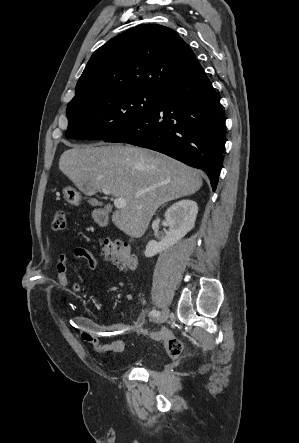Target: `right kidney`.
<instances>
[{
  "label": "right kidney",
  "instance_id": "right-kidney-1",
  "mask_svg": "<svg viewBox=\"0 0 299 443\" xmlns=\"http://www.w3.org/2000/svg\"><path fill=\"white\" fill-rule=\"evenodd\" d=\"M197 213L198 205L193 200H181L170 206L165 212L169 232L159 242L149 241L146 245L145 256L152 257L181 240L194 227Z\"/></svg>",
  "mask_w": 299,
  "mask_h": 443
}]
</instances>
